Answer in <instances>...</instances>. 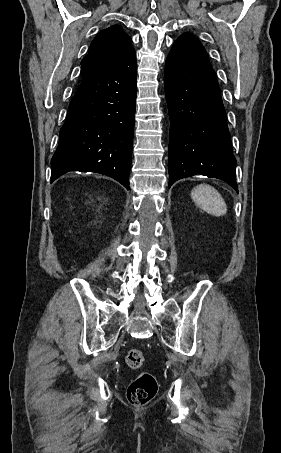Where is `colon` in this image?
I'll list each match as a JSON object with an SVG mask.
<instances>
[{
  "label": "colon",
  "mask_w": 281,
  "mask_h": 453,
  "mask_svg": "<svg viewBox=\"0 0 281 453\" xmlns=\"http://www.w3.org/2000/svg\"><path fill=\"white\" fill-rule=\"evenodd\" d=\"M124 363L134 371L144 368L146 361L139 350H129L123 355ZM158 391V382L154 374L140 372L136 374L127 390V400L134 405L150 402Z\"/></svg>",
  "instance_id": "5ec220e1"
}]
</instances>
